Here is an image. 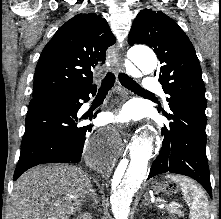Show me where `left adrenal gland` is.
<instances>
[{
	"instance_id": "left-adrenal-gland-1",
	"label": "left adrenal gland",
	"mask_w": 221,
	"mask_h": 219,
	"mask_svg": "<svg viewBox=\"0 0 221 219\" xmlns=\"http://www.w3.org/2000/svg\"><path fill=\"white\" fill-rule=\"evenodd\" d=\"M144 198H145V199H144V200H142V203H145V201H146V195L144 196Z\"/></svg>"
}]
</instances>
